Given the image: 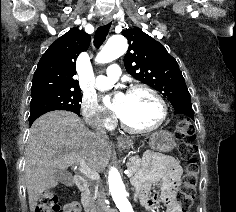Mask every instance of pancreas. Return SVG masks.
I'll list each match as a JSON object with an SVG mask.
<instances>
[{
  "label": "pancreas",
  "mask_w": 236,
  "mask_h": 212,
  "mask_svg": "<svg viewBox=\"0 0 236 212\" xmlns=\"http://www.w3.org/2000/svg\"><path fill=\"white\" fill-rule=\"evenodd\" d=\"M127 168L132 172V174L139 171L141 169V159L139 158V156L132 157L127 163ZM97 195L98 193L96 191L93 198L95 199Z\"/></svg>",
  "instance_id": "1"
}]
</instances>
